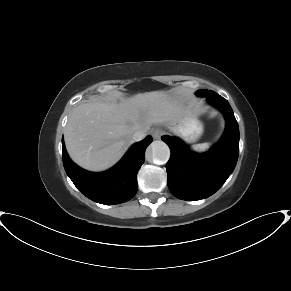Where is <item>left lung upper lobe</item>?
Listing matches in <instances>:
<instances>
[{
    "instance_id": "1",
    "label": "left lung upper lobe",
    "mask_w": 291,
    "mask_h": 291,
    "mask_svg": "<svg viewBox=\"0 0 291 291\" xmlns=\"http://www.w3.org/2000/svg\"><path fill=\"white\" fill-rule=\"evenodd\" d=\"M206 92H207V90H199V91L197 92V95L202 96V95H205Z\"/></svg>"
}]
</instances>
